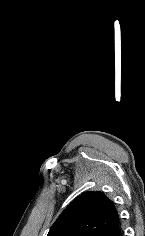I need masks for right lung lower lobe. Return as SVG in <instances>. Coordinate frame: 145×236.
<instances>
[{
	"label": "right lung lower lobe",
	"instance_id": "obj_1",
	"mask_svg": "<svg viewBox=\"0 0 145 236\" xmlns=\"http://www.w3.org/2000/svg\"><path fill=\"white\" fill-rule=\"evenodd\" d=\"M99 236H122V231L119 226V223L108 228L107 230L102 232Z\"/></svg>",
	"mask_w": 145,
	"mask_h": 236
}]
</instances>
